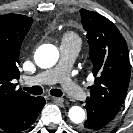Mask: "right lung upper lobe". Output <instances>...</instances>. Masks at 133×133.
Listing matches in <instances>:
<instances>
[{"mask_svg":"<svg viewBox=\"0 0 133 133\" xmlns=\"http://www.w3.org/2000/svg\"><path fill=\"white\" fill-rule=\"evenodd\" d=\"M32 22L31 17L19 14L0 16V124L20 103L32 97L16 89L17 84H14V80L20 77L18 64L21 43Z\"/></svg>","mask_w":133,"mask_h":133,"instance_id":"obj_1","label":"right lung upper lobe"}]
</instances>
